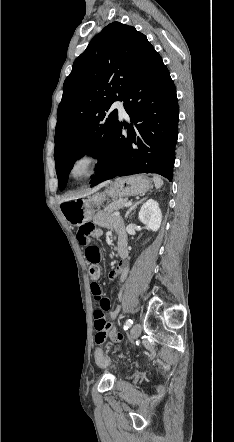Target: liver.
Segmentation results:
<instances>
[{
  "label": "liver",
  "mask_w": 234,
  "mask_h": 442,
  "mask_svg": "<svg viewBox=\"0 0 234 442\" xmlns=\"http://www.w3.org/2000/svg\"><path fill=\"white\" fill-rule=\"evenodd\" d=\"M109 183H110V181L102 182V183H100L99 185H97L96 187H94L93 189H91V190H89L88 192H86L83 196H86V195H90V194H92V193H95V192L98 191L100 188L106 186V185L109 184ZM66 200H69V199H66Z\"/></svg>",
  "instance_id": "1"
}]
</instances>
